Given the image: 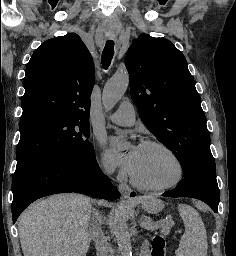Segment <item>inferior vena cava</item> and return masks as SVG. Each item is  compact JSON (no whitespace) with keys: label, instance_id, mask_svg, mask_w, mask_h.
Wrapping results in <instances>:
<instances>
[{"label":"inferior vena cava","instance_id":"inferior-vena-cava-1","mask_svg":"<svg viewBox=\"0 0 236 256\" xmlns=\"http://www.w3.org/2000/svg\"><path fill=\"white\" fill-rule=\"evenodd\" d=\"M90 234L95 238V246H96V256H108L109 254V244L107 236H104L101 228H97V230H90Z\"/></svg>","mask_w":236,"mask_h":256}]
</instances>
